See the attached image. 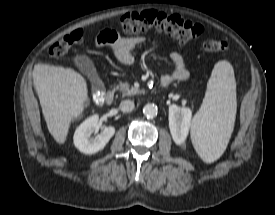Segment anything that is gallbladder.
Returning <instances> with one entry per match:
<instances>
[{
    "label": "gallbladder",
    "instance_id": "1",
    "mask_svg": "<svg viewBox=\"0 0 275 215\" xmlns=\"http://www.w3.org/2000/svg\"><path fill=\"white\" fill-rule=\"evenodd\" d=\"M74 64L90 80L93 89H99L103 83L99 77L93 61L85 54H77L73 58Z\"/></svg>",
    "mask_w": 275,
    "mask_h": 215
}]
</instances>
